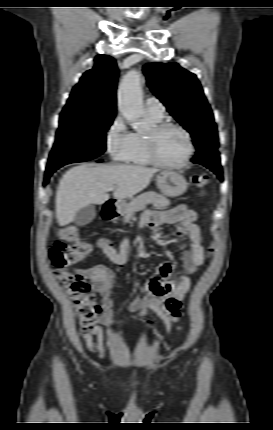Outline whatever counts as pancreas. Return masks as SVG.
I'll use <instances>...</instances> for the list:
<instances>
[{
    "label": "pancreas",
    "instance_id": "obj_1",
    "mask_svg": "<svg viewBox=\"0 0 273 430\" xmlns=\"http://www.w3.org/2000/svg\"><path fill=\"white\" fill-rule=\"evenodd\" d=\"M147 204H153L154 207L162 208L170 204V201L163 195L148 191L134 198L124 209V222L129 223L134 220V213L146 208Z\"/></svg>",
    "mask_w": 273,
    "mask_h": 430
}]
</instances>
